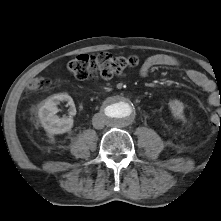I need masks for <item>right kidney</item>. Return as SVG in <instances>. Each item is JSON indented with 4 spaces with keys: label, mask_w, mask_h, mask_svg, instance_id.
Wrapping results in <instances>:
<instances>
[{
    "label": "right kidney",
    "mask_w": 221,
    "mask_h": 221,
    "mask_svg": "<svg viewBox=\"0 0 221 221\" xmlns=\"http://www.w3.org/2000/svg\"><path fill=\"white\" fill-rule=\"evenodd\" d=\"M66 101L69 106V117L60 118L57 105ZM76 115V108L73 99L66 93L55 94L49 97L40 107L38 116L43 128L52 135L63 134L73 127V116Z\"/></svg>",
    "instance_id": "1"
}]
</instances>
